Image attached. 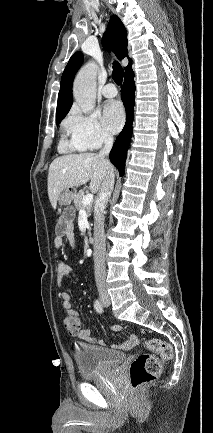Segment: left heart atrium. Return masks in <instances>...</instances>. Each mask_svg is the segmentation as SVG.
<instances>
[{
	"label": "left heart atrium",
	"mask_w": 213,
	"mask_h": 433,
	"mask_svg": "<svg viewBox=\"0 0 213 433\" xmlns=\"http://www.w3.org/2000/svg\"><path fill=\"white\" fill-rule=\"evenodd\" d=\"M102 119L109 131L119 132L125 122V112L121 103L118 101L108 102L104 107Z\"/></svg>",
	"instance_id": "left-heart-atrium-1"
}]
</instances>
